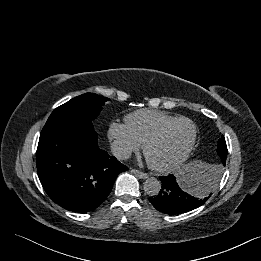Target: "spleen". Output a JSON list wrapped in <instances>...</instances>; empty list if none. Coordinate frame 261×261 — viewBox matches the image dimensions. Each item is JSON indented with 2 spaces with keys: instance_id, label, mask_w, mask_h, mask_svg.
Returning <instances> with one entry per match:
<instances>
[{
  "instance_id": "spleen-1",
  "label": "spleen",
  "mask_w": 261,
  "mask_h": 261,
  "mask_svg": "<svg viewBox=\"0 0 261 261\" xmlns=\"http://www.w3.org/2000/svg\"><path fill=\"white\" fill-rule=\"evenodd\" d=\"M210 166L206 163H203L201 161H196L194 163L189 164L186 168L185 171L188 172V178L192 179L196 174H198L200 171L204 169H208ZM186 180V179H185ZM184 181V180H183ZM196 194V193H195ZM198 195V194H196Z\"/></svg>"
}]
</instances>
